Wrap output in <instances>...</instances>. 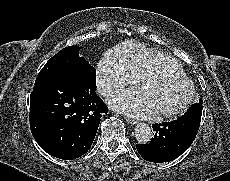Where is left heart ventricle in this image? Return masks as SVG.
Instances as JSON below:
<instances>
[{
	"label": "left heart ventricle",
	"mask_w": 230,
	"mask_h": 181,
	"mask_svg": "<svg viewBox=\"0 0 230 181\" xmlns=\"http://www.w3.org/2000/svg\"><path fill=\"white\" fill-rule=\"evenodd\" d=\"M188 90L182 80L156 78L145 85L143 96L156 111L172 110L183 103Z\"/></svg>",
	"instance_id": "b2bd125f"
}]
</instances>
